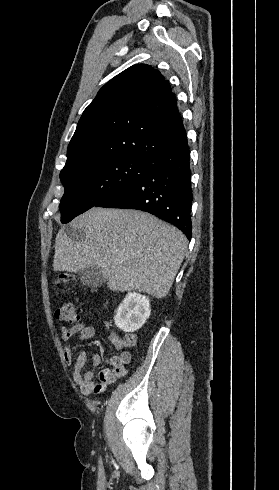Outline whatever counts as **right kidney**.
Returning a JSON list of instances; mask_svg holds the SVG:
<instances>
[{
	"mask_svg": "<svg viewBox=\"0 0 279 490\" xmlns=\"http://www.w3.org/2000/svg\"><path fill=\"white\" fill-rule=\"evenodd\" d=\"M151 314L150 300L147 296L129 292L122 304L118 306L114 316V322L123 332H137L142 328Z\"/></svg>",
	"mask_w": 279,
	"mask_h": 490,
	"instance_id": "ca27d5eb",
	"label": "right kidney"
}]
</instances>
